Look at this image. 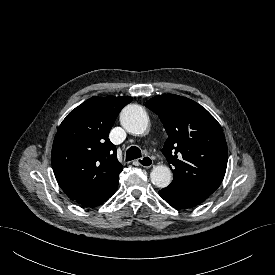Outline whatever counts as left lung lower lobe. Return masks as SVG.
<instances>
[{"label": "left lung lower lobe", "instance_id": "left-lung-lower-lobe-1", "mask_svg": "<svg viewBox=\"0 0 275 275\" xmlns=\"http://www.w3.org/2000/svg\"><path fill=\"white\" fill-rule=\"evenodd\" d=\"M159 194L171 206L186 209L202 203L212 193L196 186L169 185L160 190Z\"/></svg>", "mask_w": 275, "mask_h": 275}]
</instances>
